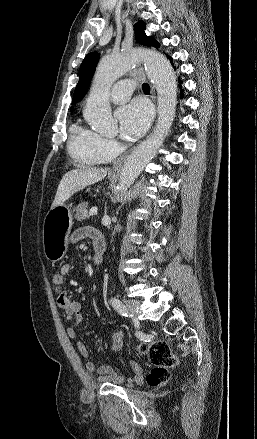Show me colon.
Returning <instances> with one entry per match:
<instances>
[{
  "instance_id": "obj_1",
  "label": "colon",
  "mask_w": 257,
  "mask_h": 439,
  "mask_svg": "<svg viewBox=\"0 0 257 439\" xmlns=\"http://www.w3.org/2000/svg\"><path fill=\"white\" fill-rule=\"evenodd\" d=\"M53 282L58 287V292L61 293L60 286L63 277L56 273L53 276ZM138 351L148 357L151 365L147 374V383L152 387L165 384L169 378L168 368L175 366L179 361L178 356L173 353L170 346L164 341H154L139 346Z\"/></svg>"
}]
</instances>
